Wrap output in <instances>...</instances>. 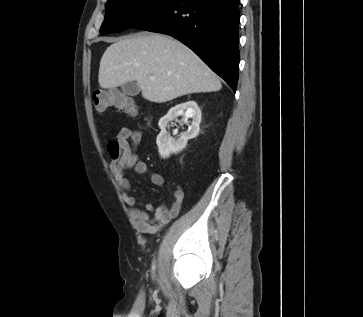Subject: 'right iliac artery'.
Returning <instances> with one entry per match:
<instances>
[{
	"label": "right iliac artery",
	"mask_w": 363,
	"mask_h": 317,
	"mask_svg": "<svg viewBox=\"0 0 363 317\" xmlns=\"http://www.w3.org/2000/svg\"><path fill=\"white\" fill-rule=\"evenodd\" d=\"M154 269H155V264H153V266H152V270L154 271Z\"/></svg>",
	"instance_id": "right-iliac-artery-1"
}]
</instances>
